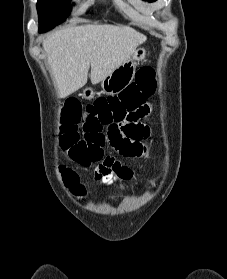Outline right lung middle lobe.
<instances>
[{"mask_svg":"<svg viewBox=\"0 0 227 279\" xmlns=\"http://www.w3.org/2000/svg\"><path fill=\"white\" fill-rule=\"evenodd\" d=\"M39 32L54 28L66 18L70 11V0H38Z\"/></svg>","mask_w":227,"mask_h":279,"instance_id":"1","label":"right lung middle lobe"}]
</instances>
